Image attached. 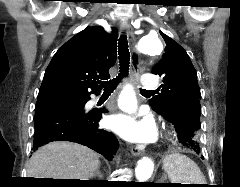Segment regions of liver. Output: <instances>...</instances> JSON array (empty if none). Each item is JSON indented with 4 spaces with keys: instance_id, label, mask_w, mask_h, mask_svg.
<instances>
[{
    "instance_id": "liver-1",
    "label": "liver",
    "mask_w": 240,
    "mask_h": 187,
    "mask_svg": "<svg viewBox=\"0 0 240 187\" xmlns=\"http://www.w3.org/2000/svg\"><path fill=\"white\" fill-rule=\"evenodd\" d=\"M99 166V157L91 149L77 143L56 141L32 155L27 177L89 180Z\"/></svg>"
}]
</instances>
